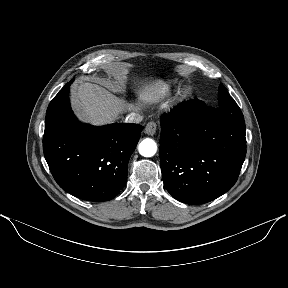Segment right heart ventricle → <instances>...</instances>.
Returning a JSON list of instances; mask_svg holds the SVG:
<instances>
[{
  "instance_id": "1",
  "label": "right heart ventricle",
  "mask_w": 288,
  "mask_h": 288,
  "mask_svg": "<svg viewBox=\"0 0 288 288\" xmlns=\"http://www.w3.org/2000/svg\"><path fill=\"white\" fill-rule=\"evenodd\" d=\"M167 91H168V88H164L162 90H159L158 95L159 96H163V95H165L167 93Z\"/></svg>"
}]
</instances>
